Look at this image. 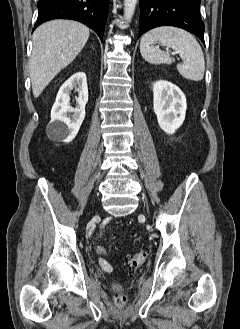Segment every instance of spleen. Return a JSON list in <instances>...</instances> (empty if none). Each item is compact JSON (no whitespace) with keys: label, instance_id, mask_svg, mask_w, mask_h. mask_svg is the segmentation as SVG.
I'll return each instance as SVG.
<instances>
[{"label":"spleen","instance_id":"1","mask_svg":"<svg viewBox=\"0 0 240 329\" xmlns=\"http://www.w3.org/2000/svg\"><path fill=\"white\" fill-rule=\"evenodd\" d=\"M157 41L161 45L171 47L179 54L183 63L177 65V70L184 78L192 81L203 79L205 72L204 55L193 35L183 29L170 26L158 27L143 35L140 43L142 57L152 64H170L172 62L171 57L158 47L153 46Z\"/></svg>","mask_w":240,"mask_h":329}]
</instances>
